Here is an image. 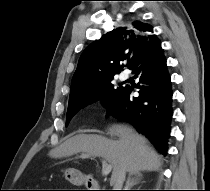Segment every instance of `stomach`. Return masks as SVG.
I'll list each match as a JSON object with an SVG mask.
<instances>
[{
    "label": "stomach",
    "mask_w": 210,
    "mask_h": 191,
    "mask_svg": "<svg viewBox=\"0 0 210 191\" xmlns=\"http://www.w3.org/2000/svg\"><path fill=\"white\" fill-rule=\"evenodd\" d=\"M65 179L75 185H82L86 182V176L75 169H67L65 171Z\"/></svg>",
    "instance_id": "0dacf381"
}]
</instances>
